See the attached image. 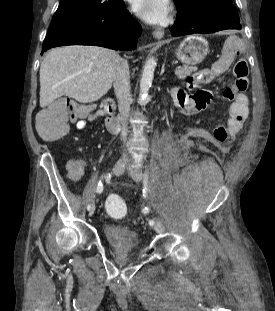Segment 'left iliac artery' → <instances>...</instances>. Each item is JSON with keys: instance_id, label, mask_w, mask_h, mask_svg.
Wrapping results in <instances>:
<instances>
[{"instance_id": "obj_1", "label": "left iliac artery", "mask_w": 275, "mask_h": 311, "mask_svg": "<svg viewBox=\"0 0 275 311\" xmlns=\"http://www.w3.org/2000/svg\"><path fill=\"white\" fill-rule=\"evenodd\" d=\"M147 183H148V177H147V173H145L144 175V191H147L148 190V187H147ZM149 224L150 225H153L154 224V221L153 220H150L149 221Z\"/></svg>"}]
</instances>
